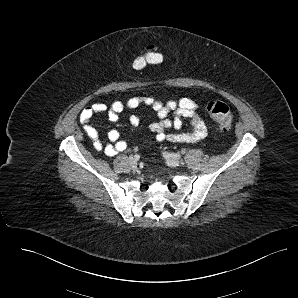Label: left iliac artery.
Wrapping results in <instances>:
<instances>
[{"instance_id": "obj_1", "label": "left iliac artery", "mask_w": 298, "mask_h": 298, "mask_svg": "<svg viewBox=\"0 0 298 298\" xmlns=\"http://www.w3.org/2000/svg\"><path fill=\"white\" fill-rule=\"evenodd\" d=\"M163 156L167 159V158H173V159H181V155L178 153H168V152H164Z\"/></svg>"}]
</instances>
